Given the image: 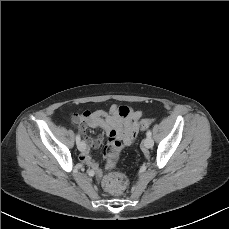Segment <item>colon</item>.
<instances>
[{"label": "colon", "mask_w": 229, "mask_h": 229, "mask_svg": "<svg viewBox=\"0 0 229 229\" xmlns=\"http://www.w3.org/2000/svg\"><path fill=\"white\" fill-rule=\"evenodd\" d=\"M152 123L150 119H144L140 122L141 129H147ZM131 132L134 134L136 133V127L133 126ZM117 139V133L115 131H111L109 134V142H112ZM119 154L116 155L118 158ZM103 186L104 189L112 196H120L123 195L128 186V180L126 176L122 173H109L106 174L103 179Z\"/></svg>", "instance_id": "obj_1"}]
</instances>
